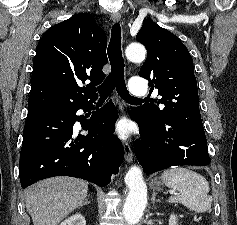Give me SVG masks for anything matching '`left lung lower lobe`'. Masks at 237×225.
I'll return each mask as SVG.
<instances>
[{
	"label": "left lung lower lobe",
	"mask_w": 237,
	"mask_h": 225,
	"mask_svg": "<svg viewBox=\"0 0 237 225\" xmlns=\"http://www.w3.org/2000/svg\"><path fill=\"white\" fill-rule=\"evenodd\" d=\"M141 139L136 141L135 154L147 174L176 165L210 164L206 136L199 106L159 123H148L138 108L131 109Z\"/></svg>",
	"instance_id": "obj_1"
}]
</instances>
